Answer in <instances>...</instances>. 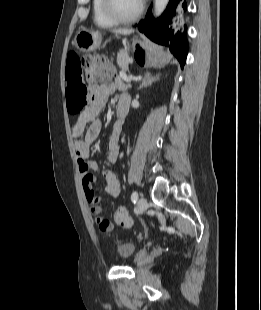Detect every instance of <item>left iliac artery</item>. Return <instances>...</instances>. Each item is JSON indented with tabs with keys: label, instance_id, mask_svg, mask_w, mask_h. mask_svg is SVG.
Returning <instances> with one entry per match:
<instances>
[{
	"label": "left iliac artery",
	"instance_id": "44dca946",
	"mask_svg": "<svg viewBox=\"0 0 261 310\" xmlns=\"http://www.w3.org/2000/svg\"><path fill=\"white\" fill-rule=\"evenodd\" d=\"M137 198H138V193L136 191H134L132 194H131V201L132 202H136L137 201Z\"/></svg>",
	"mask_w": 261,
	"mask_h": 310
}]
</instances>
